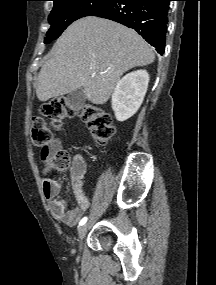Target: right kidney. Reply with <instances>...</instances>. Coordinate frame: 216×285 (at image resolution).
Returning <instances> with one entry per match:
<instances>
[{"label": "right kidney", "instance_id": "1", "mask_svg": "<svg viewBox=\"0 0 216 285\" xmlns=\"http://www.w3.org/2000/svg\"><path fill=\"white\" fill-rule=\"evenodd\" d=\"M149 83L146 70H137L120 79L112 94V109L118 121L132 117L142 104Z\"/></svg>", "mask_w": 216, "mask_h": 285}]
</instances>
